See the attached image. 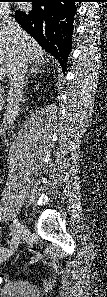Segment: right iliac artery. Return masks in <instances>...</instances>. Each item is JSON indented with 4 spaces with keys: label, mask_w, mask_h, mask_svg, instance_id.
<instances>
[{
    "label": "right iliac artery",
    "mask_w": 107,
    "mask_h": 297,
    "mask_svg": "<svg viewBox=\"0 0 107 297\" xmlns=\"http://www.w3.org/2000/svg\"><path fill=\"white\" fill-rule=\"evenodd\" d=\"M14 225L13 226H15V224H16V220H14ZM14 230V233L17 235V236H20V232L17 230V229H13ZM7 249L6 248H1L0 249V255L4 252V251H6Z\"/></svg>",
    "instance_id": "right-iliac-artery-1"
}]
</instances>
